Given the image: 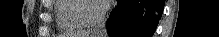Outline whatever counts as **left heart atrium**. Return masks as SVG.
<instances>
[{
  "label": "left heart atrium",
  "instance_id": "39dd6f15",
  "mask_svg": "<svg viewBox=\"0 0 219 37\" xmlns=\"http://www.w3.org/2000/svg\"><path fill=\"white\" fill-rule=\"evenodd\" d=\"M99 3H100L101 5H106V4L109 3V1H108V0H100Z\"/></svg>",
  "mask_w": 219,
  "mask_h": 37
}]
</instances>
